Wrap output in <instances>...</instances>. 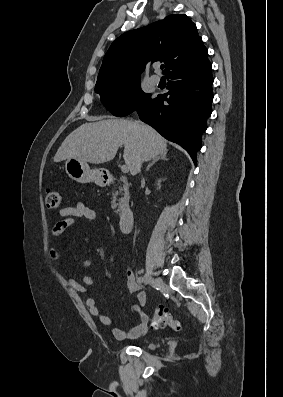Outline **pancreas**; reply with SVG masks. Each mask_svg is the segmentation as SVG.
Segmentation results:
<instances>
[{
  "mask_svg": "<svg viewBox=\"0 0 283 397\" xmlns=\"http://www.w3.org/2000/svg\"><path fill=\"white\" fill-rule=\"evenodd\" d=\"M121 181L124 182L123 187H119V191H116L114 193L115 197L118 194H123L124 195V197L119 199L120 204L123 203V202L127 203L129 201V198H130L128 184L123 179H121ZM118 211H119V209L116 212H118Z\"/></svg>",
  "mask_w": 283,
  "mask_h": 397,
  "instance_id": "obj_1",
  "label": "pancreas"
}]
</instances>
